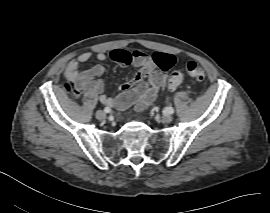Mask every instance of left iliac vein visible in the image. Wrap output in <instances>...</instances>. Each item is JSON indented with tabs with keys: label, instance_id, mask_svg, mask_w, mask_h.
<instances>
[{
	"label": "left iliac vein",
	"instance_id": "1",
	"mask_svg": "<svg viewBox=\"0 0 270 213\" xmlns=\"http://www.w3.org/2000/svg\"><path fill=\"white\" fill-rule=\"evenodd\" d=\"M173 120L172 116L170 114H165L162 116V121L164 123H170Z\"/></svg>",
	"mask_w": 270,
	"mask_h": 213
}]
</instances>
